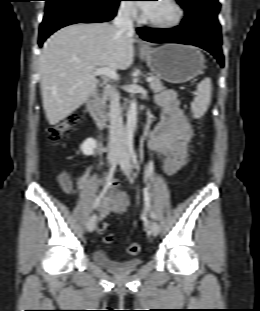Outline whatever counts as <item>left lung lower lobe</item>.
Here are the masks:
<instances>
[{"mask_svg":"<svg viewBox=\"0 0 260 311\" xmlns=\"http://www.w3.org/2000/svg\"><path fill=\"white\" fill-rule=\"evenodd\" d=\"M141 38L154 43L194 45L210 52L224 66L221 50V29L205 22H187L172 29L138 28Z\"/></svg>","mask_w":260,"mask_h":311,"instance_id":"obj_1","label":"left lung lower lobe"}]
</instances>
